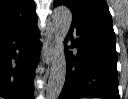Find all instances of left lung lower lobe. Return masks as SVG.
Returning a JSON list of instances; mask_svg holds the SVG:
<instances>
[{"label":"left lung lower lobe","mask_w":128,"mask_h":99,"mask_svg":"<svg viewBox=\"0 0 128 99\" xmlns=\"http://www.w3.org/2000/svg\"><path fill=\"white\" fill-rule=\"evenodd\" d=\"M73 31L79 36L76 40ZM68 35L77 53L66 51V78L59 99H120L114 31L72 22Z\"/></svg>","instance_id":"1"}]
</instances>
